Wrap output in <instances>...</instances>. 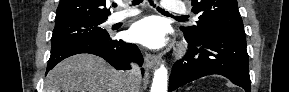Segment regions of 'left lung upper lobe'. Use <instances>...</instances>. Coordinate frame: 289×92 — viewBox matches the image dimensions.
I'll return each mask as SVG.
<instances>
[{
  "label": "left lung upper lobe",
  "mask_w": 289,
  "mask_h": 92,
  "mask_svg": "<svg viewBox=\"0 0 289 92\" xmlns=\"http://www.w3.org/2000/svg\"><path fill=\"white\" fill-rule=\"evenodd\" d=\"M191 3L193 13L200 15L197 26L180 27L190 41L198 42L212 31L245 34L237 0H192Z\"/></svg>",
  "instance_id": "left-lung-upper-lobe-1"
}]
</instances>
